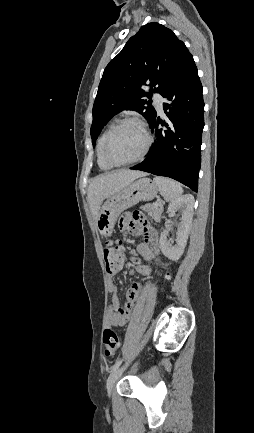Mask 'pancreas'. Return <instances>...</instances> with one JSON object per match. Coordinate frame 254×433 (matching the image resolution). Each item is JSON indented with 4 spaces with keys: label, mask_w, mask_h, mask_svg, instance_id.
Masks as SVG:
<instances>
[{
    "label": "pancreas",
    "mask_w": 254,
    "mask_h": 433,
    "mask_svg": "<svg viewBox=\"0 0 254 433\" xmlns=\"http://www.w3.org/2000/svg\"><path fill=\"white\" fill-rule=\"evenodd\" d=\"M141 209L148 213L154 220H160L161 214L163 212V205L160 203L158 206L155 204H146L141 206Z\"/></svg>",
    "instance_id": "cf45deb5"
}]
</instances>
